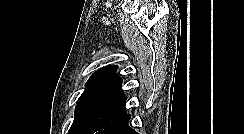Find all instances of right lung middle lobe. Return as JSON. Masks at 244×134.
Segmentation results:
<instances>
[{"mask_svg":"<svg viewBox=\"0 0 244 134\" xmlns=\"http://www.w3.org/2000/svg\"><path fill=\"white\" fill-rule=\"evenodd\" d=\"M125 113V101L122 100L85 103L76 107L68 134H108Z\"/></svg>","mask_w":244,"mask_h":134,"instance_id":"1","label":"right lung middle lobe"}]
</instances>
